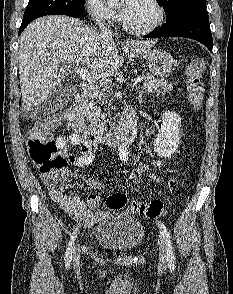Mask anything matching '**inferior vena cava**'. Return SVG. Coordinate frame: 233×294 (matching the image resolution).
I'll use <instances>...</instances> for the list:
<instances>
[{"instance_id":"602c4592","label":"inferior vena cava","mask_w":233,"mask_h":294,"mask_svg":"<svg viewBox=\"0 0 233 294\" xmlns=\"http://www.w3.org/2000/svg\"><path fill=\"white\" fill-rule=\"evenodd\" d=\"M99 28H100L102 38H107V39L112 38V32L109 29V27L106 26L105 23L100 21L99 22Z\"/></svg>"}]
</instances>
